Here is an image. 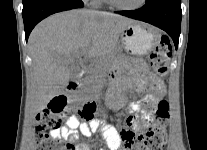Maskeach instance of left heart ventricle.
<instances>
[{
    "instance_id": "obj_1",
    "label": "left heart ventricle",
    "mask_w": 207,
    "mask_h": 150,
    "mask_svg": "<svg viewBox=\"0 0 207 150\" xmlns=\"http://www.w3.org/2000/svg\"><path fill=\"white\" fill-rule=\"evenodd\" d=\"M116 1L122 6L131 7L139 4L141 0H116Z\"/></svg>"
}]
</instances>
